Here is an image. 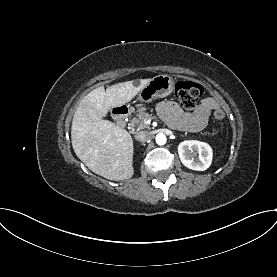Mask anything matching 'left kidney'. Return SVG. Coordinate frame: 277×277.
<instances>
[{"instance_id":"1","label":"left kidney","mask_w":277,"mask_h":277,"mask_svg":"<svg viewBox=\"0 0 277 277\" xmlns=\"http://www.w3.org/2000/svg\"><path fill=\"white\" fill-rule=\"evenodd\" d=\"M178 154L184 166L196 171H204L211 165L212 148L197 140L183 141L178 146Z\"/></svg>"}]
</instances>
